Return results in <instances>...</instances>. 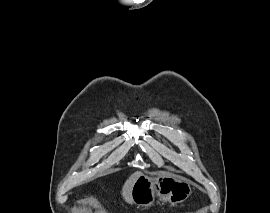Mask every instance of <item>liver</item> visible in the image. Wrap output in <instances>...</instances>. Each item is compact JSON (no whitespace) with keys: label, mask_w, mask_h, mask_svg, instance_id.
I'll return each instance as SVG.
<instances>
[{"label":"liver","mask_w":270,"mask_h":213,"mask_svg":"<svg viewBox=\"0 0 270 213\" xmlns=\"http://www.w3.org/2000/svg\"><path fill=\"white\" fill-rule=\"evenodd\" d=\"M142 175L141 172H135L133 173L124 183L123 187H122V196L124 198V200L129 203L132 204V188L134 183L136 182L137 178Z\"/></svg>","instance_id":"1"}]
</instances>
